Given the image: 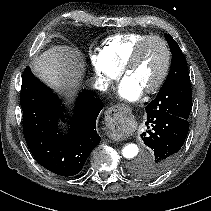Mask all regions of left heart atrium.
<instances>
[{
    "label": "left heart atrium",
    "mask_w": 211,
    "mask_h": 211,
    "mask_svg": "<svg viewBox=\"0 0 211 211\" xmlns=\"http://www.w3.org/2000/svg\"><path fill=\"white\" fill-rule=\"evenodd\" d=\"M143 93L141 87L130 77L126 76L118 87V95L127 101L137 100Z\"/></svg>",
    "instance_id": "obj_1"
}]
</instances>
